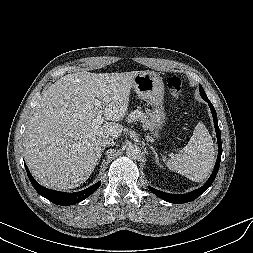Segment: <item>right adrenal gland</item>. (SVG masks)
Segmentation results:
<instances>
[{
	"mask_svg": "<svg viewBox=\"0 0 253 253\" xmlns=\"http://www.w3.org/2000/svg\"><path fill=\"white\" fill-rule=\"evenodd\" d=\"M104 149H105V148H102V149H101V153L104 151Z\"/></svg>",
	"mask_w": 253,
	"mask_h": 253,
	"instance_id": "2a0ac1e0",
	"label": "right adrenal gland"
}]
</instances>
